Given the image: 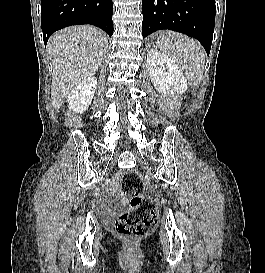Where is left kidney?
<instances>
[{"mask_svg": "<svg viewBox=\"0 0 265 273\" xmlns=\"http://www.w3.org/2000/svg\"><path fill=\"white\" fill-rule=\"evenodd\" d=\"M147 68L156 90L165 95H179L187 90V80L174 60L150 49L147 54Z\"/></svg>", "mask_w": 265, "mask_h": 273, "instance_id": "1", "label": "left kidney"}]
</instances>
